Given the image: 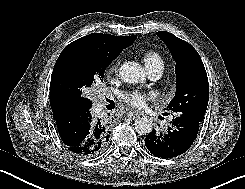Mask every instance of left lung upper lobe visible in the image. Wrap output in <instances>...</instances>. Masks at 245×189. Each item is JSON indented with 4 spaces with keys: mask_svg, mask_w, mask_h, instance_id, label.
<instances>
[{
    "mask_svg": "<svg viewBox=\"0 0 245 189\" xmlns=\"http://www.w3.org/2000/svg\"><path fill=\"white\" fill-rule=\"evenodd\" d=\"M157 36L167 45L176 62V92L167 109L178 114H191L202 121L208 105L209 85L198 52L169 32L159 31Z\"/></svg>",
    "mask_w": 245,
    "mask_h": 189,
    "instance_id": "5c2ea615",
    "label": "left lung upper lobe"
}]
</instances>
